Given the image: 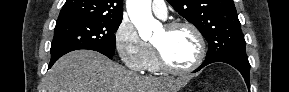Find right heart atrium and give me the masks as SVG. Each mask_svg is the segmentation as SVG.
I'll return each mask as SVG.
<instances>
[{
  "label": "right heart atrium",
  "mask_w": 289,
  "mask_h": 92,
  "mask_svg": "<svg viewBox=\"0 0 289 92\" xmlns=\"http://www.w3.org/2000/svg\"><path fill=\"white\" fill-rule=\"evenodd\" d=\"M115 47L122 62L131 70L146 69L154 54L152 46L138 34L136 27L123 19L114 34Z\"/></svg>",
  "instance_id": "right-heart-atrium-1"
}]
</instances>
